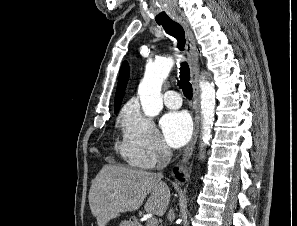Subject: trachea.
<instances>
[{"instance_id":"3493384b","label":"trachea","mask_w":297,"mask_h":226,"mask_svg":"<svg viewBox=\"0 0 297 226\" xmlns=\"http://www.w3.org/2000/svg\"><path fill=\"white\" fill-rule=\"evenodd\" d=\"M162 25L165 32L174 38H176L178 44L177 47L180 51L184 50L185 46V31L183 27L174 21L158 23ZM190 80V69L186 62H182L180 65V80L178 81V86L183 90L184 95L188 98H192V85Z\"/></svg>"}]
</instances>
